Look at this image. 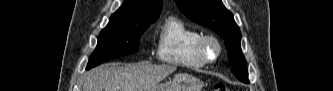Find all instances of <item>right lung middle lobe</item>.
I'll use <instances>...</instances> for the list:
<instances>
[{
	"label": "right lung middle lobe",
	"mask_w": 333,
	"mask_h": 91,
	"mask_svg": "<svg viewBox=\"0 0 333 91\" xmlns=\"http://www.w3.org/2000/svg\"><path fill=\"white\" fill-rule=\"evenodd\" d=\"M156 19H140L121 23L109 22L100 32L97 47L91 55L86 69L93 68L110 59L137 52L142 33Z\"/></svg>",
	"instance_id": "dd1d6c3e"
}]
</instances>
